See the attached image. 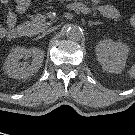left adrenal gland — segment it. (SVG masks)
Here are the masks:
<instances>
[{"label":"left adrenal gland","mask_w":135,"mask_h":135,"mask_svg":"<svg viewBox=\"0 0 135 135\" xmlns=\"http://www.w3.org/2000/svg\"><path fill=\"white\" fill-rule=\"evenodd\" d=\"M99 24H101V22H92V21H89V23H88L89 26L99 25Z\"/></svg>","instance_id":"1"}]
</instances>
